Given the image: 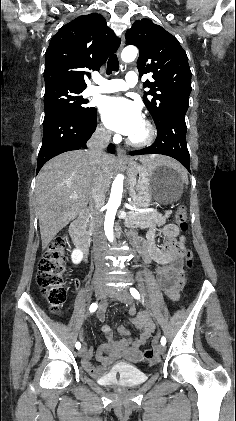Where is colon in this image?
<instances>
[{
  "label": "colon",
  "instance_id": "1",
  "mask_svg": "<svg viewBox=\"0 0 236 421\" xmlns=\"http://www.w3.org/2000/svg\"><path fill=\"white\" fill-rule=\"evenodd\" d=\"M176 221L180 230H187V210L184 206H180L177 209ZM66 250V238L64 236L55 237L46 249L38 265L37 283L42 295L49 303L52 312H58L67 297L65 285ZM183 255L186 266L190 268L193 264L192 251L190 249H184ZM154 357L155 353L152 349L144 351L145 360L151 361Z\"/></svg>",
  "mask_w": 236,
  "mask_h": 421
}]
</instances>
